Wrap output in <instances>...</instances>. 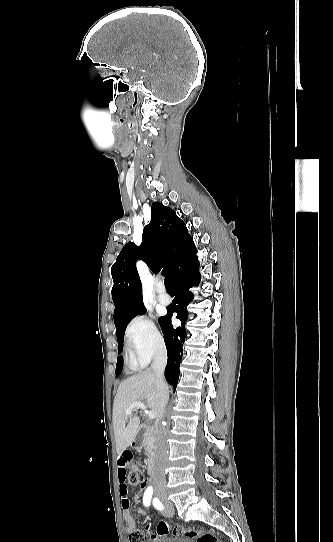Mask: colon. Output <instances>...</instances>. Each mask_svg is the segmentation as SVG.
<instances>
[{
    "label": "colon",
    "mask_w": 333,
    "mask_h": 542,
    "mask_svg": "<svg viewBox=\"0 0 333 542\" xmlns=\"http://www.w3.org/2000/svg\"><path fill=\"white\" fill-rule=\"evenodd\" d=\"M129 452L132 453L133 462H134L133 452L130 450ZM130 470H131L130 477H128L129 483L132 486H141L146 480V477L144 475L142 468L139 465L133 463ZM167 533H170L176 536H179V535L183 536L189 542H228V539L226 536H217L213 534L212 532L201 531L200 529H196V528H184L181 526H173L167 523V521L162 520L157 525L156 534L159 537H163ZM131 537L132 539H129V542H147L148 541V537H145L142 531H135Z\"/></svg>",
    "instance_id": "obj_1"
}]
</instances>
